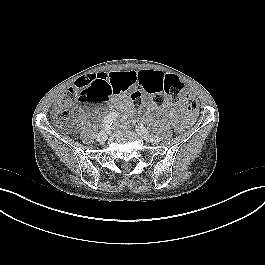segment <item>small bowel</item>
<instances>
[{
    "label": "small bowel",
    "mask_w": 265,
    "mask_h": 265,
    "mask_svg": "<svg viewBox=\"0 0 265 265\" xmlns=\"http://www.w3.org/2000/svg\"><path fill=\"white\" fill-rule=\"evenodd\" d=\"M165 74L159 70H140V71H126V72H110L98 73L92 76L103 77L107 85L112 89L114 95L111 103L113 106L131 110L132 104L129 101H122L120 96L124 95L129 89L139 86L143 90L149 92L155 89L163 82ZM179 106L170 101H167L161 108H156L152 104L147 107L148 112H162L168 116H173L178 110ZM87 115L83 113L77 118V123H83Z\"/></svg>",
    "instance_id": "c3829d8e"
}]
</instances>
